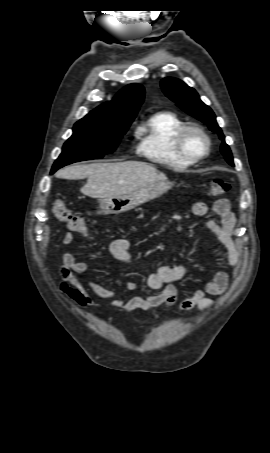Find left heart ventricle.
<instances>
[{
	"label": "left heart ventricle",
	"mask_w": 270,
	"mask_h": 453,
	"mask_svg": "<svg viewBox=\"0 0 270 453\" xmlns=\"http://www.w3.org/2000/svg\"><path fill=\"white\" fill-rule=\"evenodd\" d=\"M205 139L197 133H189L185 138V147L193 155L201 154L205 150Z\"/></svg>",
	"instance_id": "obj_1"
}]
</instances>
